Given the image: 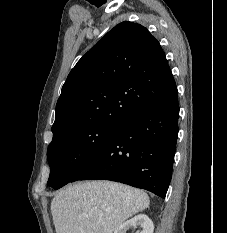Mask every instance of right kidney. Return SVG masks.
I'll use <instances>...</instances> for the list:
<instances>
[{
    "mask_svg": "<svg viewBox=\"0 0 227 233\" xmlns=\"http://www.w3.org/2000/svg\"><path fill=\"white\" fill-rule=\"evenodd\" d=\"M136 226L142 229L140 233H153L154 230V225L150 218L145 214H139L121 224L114 233H127L130 228Z\"/></svg>",
    "mask_w": 227,
    "mask_h": 233,
    "instance_id": "obj_1",
    "label": "right kidney"
}]
</instances>
